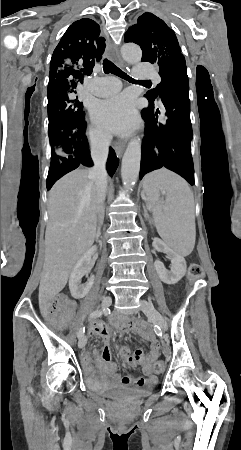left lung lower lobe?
<instances>
[{
    "label": "left lung lower lobe",
    "mask_w": 241,
    "mask_h": 450,
    "mask_svg": "<svg viewBox=\"0 0 241 450\" xmlns=\"http://www.w3.org/2000/svg\"><path fill=\"white\" fill-rule=\"evenodd\" d=\"M188 92L187 87L171 84L161 95L166 115L164 123L158 121L160 111L154 101L142 110L146 129L141 150L140 179L148 172L165 167L194 184Z\"/></svg>",
    "instance_id": "left-lung-lower-lobe-1"
}]
</instances>
